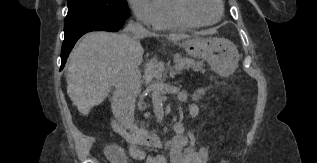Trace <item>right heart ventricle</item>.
Segmentation results:
<instances>
[{
  "instance_id": "e07e8e85",
  "label": "right heart ventricle",
  "mask_w": 317,
  "mask_h": 163,
  "mask_svg": "<svg viewBox=\"0 0 317 163\" xmlns=\"http://www.w3.org/2000/svg\"><path fill=\"white\" fill-rule=\"evenodd\" d=\"M158 8H159V16L154 25L156 29H183L189 26L183 25L173 19L170 15L167 0H157Z\"/></svg>"
}]
</instances>
